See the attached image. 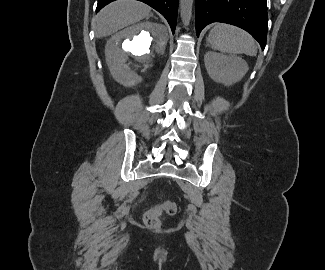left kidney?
<instances>
[{"mask_svg": "<svg viewBox=\"0 0 325 270\" xmlns=\"http://www.w3.org/2000/svg\"><path fill=\"white\" fill-rule=\"evenodd\" d=\"M204 63L211 79L226 86L240 81L248 71V65L241 57L213 51L205 54Z\"/></svg>", "mask_w": 325, "mask_h": 270, "instance_id": "obj_1", "label": "left kidney"}]
</instances>
